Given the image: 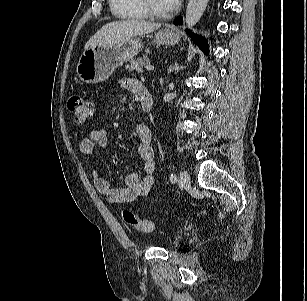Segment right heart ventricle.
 Here are the masks:
<instances>
[{
    "mask_svg": "<svg viewBox=\"0 0 307 301\" xmlns=\"http://www.w3.org/2000/svg\"><path fill=\"white\" fill-rule=\"evenodd\" d=\"M109 5L112 13L120 19L137 20L147 17L139 0H109Z\"/></svg>",
    "mask_w": 307,
    "mask_h": 301,
    "instance_id": "e07e8e85",
    "label": "right heart ventricle"
}]
</instances>
